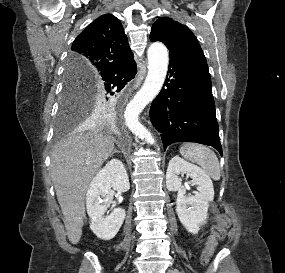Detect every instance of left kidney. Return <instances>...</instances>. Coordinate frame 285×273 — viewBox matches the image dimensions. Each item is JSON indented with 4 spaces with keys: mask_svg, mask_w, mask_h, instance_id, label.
Wrapping results in <instances>:
<instances>
[{
    "mask_svg": "<svg viewBox=\"0 0 285 273\" xmlns=\"http://www.w3.org/2000/svg\"><path fill=\"white\" fill-rule=\"evenodd\" d=\"M192 178L191 186L197 185L194 195L186 196L179 175ZM166 186L177 191L176 212L180 222L192 234H197L207 219L209 203L213 201L214 189L211 179L198 166L186 162L179 156L173 157L166 172Z\"/></svg>",
    "mask_w": 285,
    "mask_h": 273,
    "instance_id": "obj_1",
    "label": "left kidney"
}]
</instances>
